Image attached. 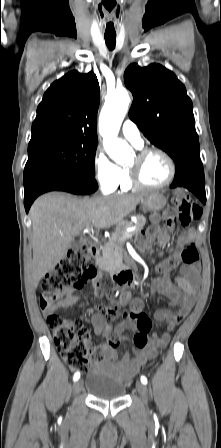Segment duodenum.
<instances>
[{"label": "duodenum", "instance_id": "410a0bca", "mask_svg": "<svg viewBox=\"0 0 221 448\" xmlns=\"http://www.w3.org/2000/svg\"><path fill=\"white\" fill-rule=\"evenodd\" d=\"M89 251H90V257L93 260L97 261L100 258L101 250L99 247H97V246L90 247ZM110 279L116 285H124V286H129V287H132L134 285L133 274L127 269L118 270L116 272H113L110 275Z\"/></svg>", "mask_w": 221, "mask_h": 448}]
</instances>
